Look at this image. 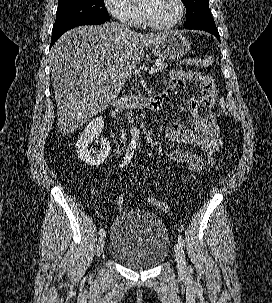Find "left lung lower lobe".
<instances>
[{
	"label": "left lung lower lobe",
	"mask_w": 272,
	"mask_h": 303,
	"mask_svg": "<svg viewBox=\"0 0 272 303\" xmlns=\"http://www.w3.org/2000/svg\"><path fill=\"white\" fill-rule=\"evenodd\" d=\"M185 29H196V30H203V31L209 32V33L213 34L220 41V36H219V32L216 28V25H206V26H200V27H195V28H185Z\"/></svg>",
	"instance_id": "left-lung-lower-lobe-1"
}]
</instances>
